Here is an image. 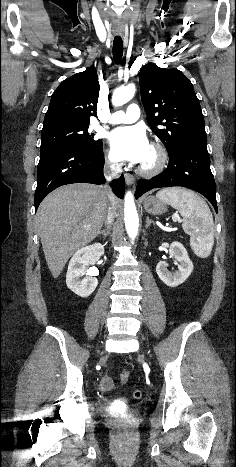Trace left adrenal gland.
Segmentation results:
<instances>
[{
  "mask_svg": "<svg viewBox=\"0 0 236 467\" xmlns=\"http://www.w3.org/2000/svg\"><path fill=\"white\" fill-rule=\"evenodd\" d=\"M151 224H153L155 226V223L152 220H150L149 217L147 216L146 217V226H145V228L148 229Z\"/></svg>",
  "mask_w": 236,
  "mask_h": 467,
  "instance_id": "left-adrenal-gland-1",
  "label": "left adrenal gland"
}]
</instances>
